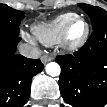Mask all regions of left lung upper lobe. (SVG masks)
<instances>
[{
	"mask_svg": "<svg viewBox=\"0 0 107 107\" xmlns=\"http://www.w3.org/2000/svg\"><path fill=\"white\" fill-rule=\"evenodd\" d=\"M78 5L89 15L93 29H96L101 24L107 23V11L104 9L88 4Z\"/></svg>",
	"mask_w": 107,
	"mask_h": 107,
	"instance_id": "1",
	"label": "left lung upper lobe"
}]
</instances>
